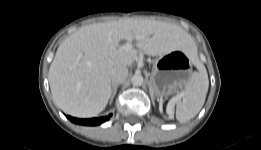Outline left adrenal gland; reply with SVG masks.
Returning <instances> with one entry per match:
<instances>
[{
    "mask_svg": "<svg viewBox=\"0 0 261 150\" xmlns=\"http://www.w3.org/2000/svg\"><path fill=\"white\" fill-rule=\"evenodd\" d=\"M149 91H150V94H152L150 85H149Z\"/></svg>",
    "mask_w": 261,
    "mask_h": 150,
    "instance_id": "a2214340",
    "label": "left adrenal gland"
}]
</instances>
